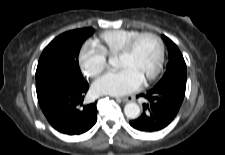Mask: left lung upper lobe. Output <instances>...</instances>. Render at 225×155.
Instances as JSON below:
<instances>
[{
	"label": "left lung upper lobe",
	"mask_w": 225,
	"mask_h": 155,
	"mask_svg": "<svg viewBox=\"0 0 225 155\" xmlns=\"http://www.w3.org/2000/svg\"><path fill=\"white\" fill-rule=\"evenodd\" d=\"M162 38L168 47L169 62L164 76L156 85L179 84L186 87V63L184 58L175 43L164 35Z\"/></svg>",
	"instance_id": "1"
}]
</instances>
